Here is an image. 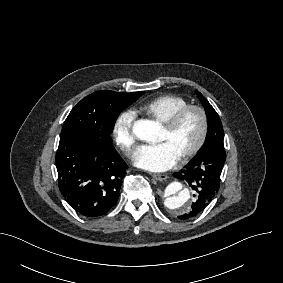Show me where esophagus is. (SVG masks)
<instances>
[{
  "label": "esophagus",
  "mask_w": 283,
  "mask_h": 283,
  "mask_svg": "<svg viewBox=\"0 0 283 283\" xmlns=\"http://www.w3.org/2000/svg\"><path fill=\"white\" fill-rule=\"evenodd\" d=\"M154 179L158 180V181H164L166 179H168V176L165 174H153L152 175Z\"/></svg>",
  "instance_id": "1"
}]
</instances>
